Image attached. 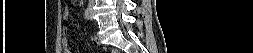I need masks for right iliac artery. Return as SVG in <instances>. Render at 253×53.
<instances>
[{"mask_svg": "<svg viewBox=\"0 0 253 53\" xmlns=\"http://www.w3.org/2000/svg\"><path fill=\"white\" fill-rule=\"evenodd\" d=\"M84 17H85V19H87V20H89V19H90V12H89V8H87V9L85 10Z\"/></svg>", "mask_w": 253, "mask_h": 53, "instance_id": "obj_1", "label": "right iliac artery"}]
</instances>
